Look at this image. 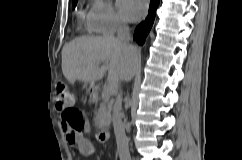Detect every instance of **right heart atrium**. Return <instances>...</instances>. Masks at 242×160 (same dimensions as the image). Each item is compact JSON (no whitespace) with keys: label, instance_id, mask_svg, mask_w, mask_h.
Wrapping results in <instances>:
<instances>
[{"label":"right heart atrium","instance_id":"d8ad5b80","mask_svg":"<svg viewBox=\"0 0 242 160\" xmlns=\"http://www.w3.org/2000/svg\"><path fill=\"white\" fill-rule=\"evenodd\" d=\"M90 14L95 32L111 35L125 26V21L106 0H93Z\"/></svg>","mask_w":242,"mask_h":160}]
</instances>
